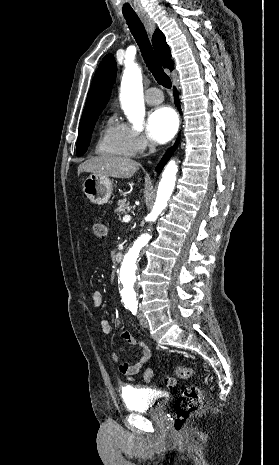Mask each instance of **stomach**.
Masks as SVG:
<instances>
[{
  "instance_id": "0dacf381",
  "label": "stomach",
  "mask_w": 279,
  "mask_h": 465,
  "mask_svg": "<svg viewBox=\"0 0 279 465\" xmlns=\"http://www.w3.org/2000/svg\"><path fill=\"white\" fill-rule=\"evenodd\" d=\"M112 191V182L105 176L92 173L83 182V192L93 204L107 203Z\"/></svg>"
}]
</instances>
